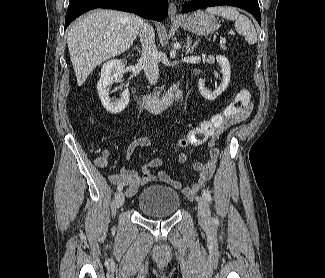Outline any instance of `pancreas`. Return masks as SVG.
Here are the masks:
<instances>
[{
	"label": "pancreas",
	"instance_id": "obj_1",
	"mask_svg": "<svg viewBox=\"0 0 325 278\" xmlns=\"http://www.w3.org/2000/svg\"><path fill=\"white\" fill-rule=\"evenodd\" d=\"M221 48H222L223 50H226V47H225V46H223V45L221 46Z\"/></svg>",
	"mask_w": 325,
	"mask_h": 278
}]
</instances>
